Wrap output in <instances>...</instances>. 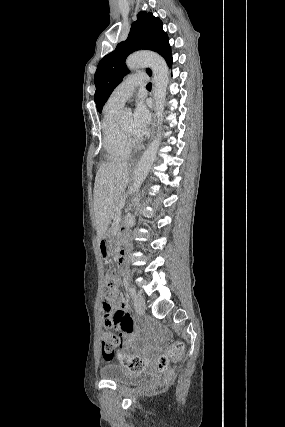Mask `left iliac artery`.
<instances>
[{
    "mask_svg": "<svg viewBox=\"0 0 285 427\" xmlns=\"http://www.w3.org/2000/svg\"><path fill=\"white\" fill-rule=\"evenodd\" d=\"M128 291L132 297L135 296L136 290L133 287H129Z\"/></svg>",
    "mask_w": 285,
    "mask_h": 427,
    "instance_id": "left-iliac-artery-1",
    "label": "left iliac artery"
}]
</instances>
